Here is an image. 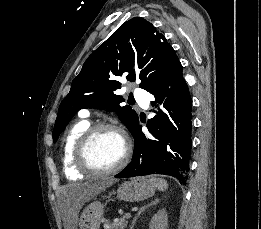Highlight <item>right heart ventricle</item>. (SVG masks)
I'll return each mask as SVG.
<instances>
[{
  "instance_id": "obj_1",
  "label": "right heart ventricle",
  "mask_w": 261,
  "mask_h": 229,
  "mask_svg": "<svg viewBox=\"0 0 261 229\" xmlns=\"http://www.w3.org/2000/svg\"><path fill=\"white\" fill-rule=\"evenodd\" d=\"M90 126V120L81 111L80 118L65 134L61 145V160L65 172L83 174V171L75 163V146L79 138Z\"/></svg>"
}]
</instances>
